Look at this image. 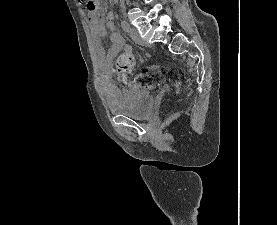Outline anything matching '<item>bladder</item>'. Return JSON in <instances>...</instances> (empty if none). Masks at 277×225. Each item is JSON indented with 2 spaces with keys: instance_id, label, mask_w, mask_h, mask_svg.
Returning <instances> with one entry per match:
<instances>
[{
  "instance_id": "bladder-1",
  "label": "bladder",
  "mask_w": 277,
  "mask_h": 225,
  "mask_svg": "<svg viewBox=\"0 0 277 225\" xmlns=\"http://www.w3.org/2000/svg\"><path fill=\"white\" fill-rule=\"evenodd\" d=\"M154 107V99L150 92L141 89L123 91L110 111L116 115H123L135 120L148 118Z\"/></svg>"
}]
</instances>
